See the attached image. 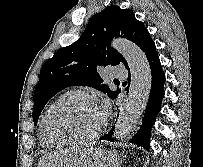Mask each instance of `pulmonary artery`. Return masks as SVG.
Wrapping results in <instances>:
<instances>
[{"label": "pulmonary artery", "mask_w": 203, "mask_h": 167, "mask_svg": "<svg viewBox=\"0 0 203 167\" xmlns=\"http://www.w3.org/2000/svg\"><path fill=\"white\" fill-rule=\"evenodd\" d=\"M111 74L117 78H125L127 76V70L123 67L115 66L111 68Z\"/></svg>", "instance_id": "1"}]
</instances>
